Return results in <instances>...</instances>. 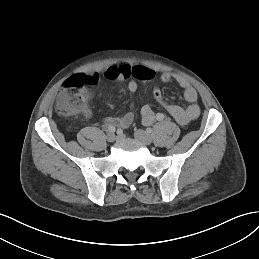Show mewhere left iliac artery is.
<instances>
[{
    "mask_svg": "<svg viewBox=\"0 0 259 259\" xmlns=\"http://www.w3.org/2000/svg\"><path fill=\"white\" fill-rule=\"evenodd\" d=\"M165 118L164 114L162 113H157L156 114V120L162 121Z\"/></svg>",
    "mask_w": 259,
    "mask_h": 259,
    "instance_id": "1",
    "label": "left iliac artery"
}]
</instances>
